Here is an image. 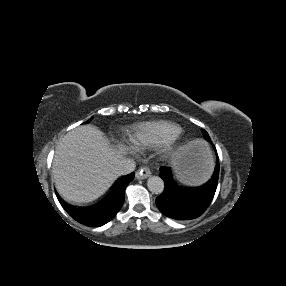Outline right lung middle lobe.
<instances>
[{
	"label": "right lung middle lobe",
	"mask_w": 286,
	"mask_h": 286,
	"mask_svg": "<svg viewBox=\"0 0 286 286\" xmlns=\"http://www.w3.org/2000/svg\"><path fill=\"white\" fill-rule=\"evenodd\" d=\"M92 120V118L91 119H89L87 122H85V123H89L90 121Z\"/></svg>",
	"instance_id": "1"
}]
</instances>
